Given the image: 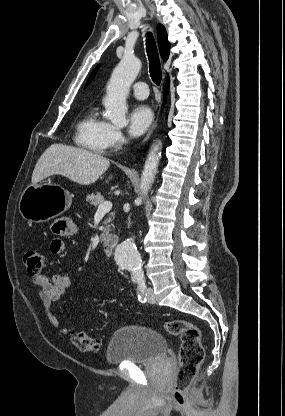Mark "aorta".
I'll return each mask as SVG.
<instances>
[{
    "label": "aorta",
    "instance_id": "762f6f07",
    "mask_svg": "<svg viewBox=\"0 0 285 416\" xmlns=\"http://www.w3.org/2000/svg\"><path fill=\"white\" fill-rule=\"evenodd\" d=\"M141 70V62L133 55L124 56L114 69L107 85L104 105L106 118L116 125L126 124V98L133 81ZM162 143L152 145L141 175L140 190L147 194L151 188L159 160L161 157ZM141 204V198L135 200ZM115 260L117 264L129 270L134 276H142V259L132 238L120 243L115 249Z\"/></svg>",
    "mask_w": 285,
    "mask_h": 416
}]
</instances>
